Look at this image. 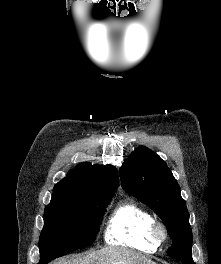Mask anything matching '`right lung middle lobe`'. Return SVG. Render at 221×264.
<instances>
[{
  "instance_id": "right-lung-middle-lobe-1",
  "label": "right lung middle lobe",
  "mask_w": 221,
  "mask_h": 264,
  "mask_svg": "<svg viewBox=\"0 0 221 264\" xmlns=\"http://www.w3.org/2000/svg\"><path fill=\"white\" fill-rule=\"evenodd\" d=\"M113 195L92 197L75 204L51 202L45 208L40 235V262L47 264L73 250L92 244Z\"/></svg>"
}]
</instances>
